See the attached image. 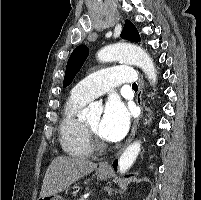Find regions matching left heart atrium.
I'll list each match as a JSON object with an SVG mask.
<instances>
[{"label": "left heart atrium", "instance_id": "39dd6f15", "mask_svg": "<svg viewBox=\"0 0 201 200\" xmlns=\"http://www.w3.org/2000/svg\"><path fill=\"white\" fill-rule=\"evenodd\" d=\"M130 126V113L123 102L110 99L104 109L99 134L101 138L117 142L128 132Z\"/></svg>", "mask_w": 201, "mask_h": 200}]
</instances>
